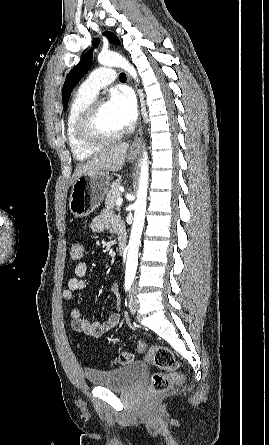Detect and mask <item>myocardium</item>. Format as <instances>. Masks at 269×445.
Listing matches in <instances>:
<instances>
[{"mask_svg": "<svg viewBox=\"0 0 269 445\" xmlns=\"http://www.w3.org/2000/svg\"><path fill=\"white\" fill-rule=\"evenodd\" d=\"M103 102L94 99L79 115L75 134L81 144L87 147H100L102 145L119 140L126 131L121 129L117 132H103L98 125V117Z\"/></svg>", "mask_w": 269, "mask_h": 445, "instance_id": "1", "label": "myocardium"}]
</instances>
